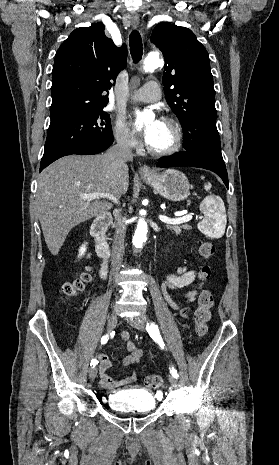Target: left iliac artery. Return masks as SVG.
<instances>
[{
	"mask_svg": "<svg viewBox=\"0 0 279 465\" xmlns=\"http://www.w3.org/2000/svg\"><path fill=\"white\" fill-rule=\"evenodd\" d=\"M147 332L149 333V335L152 337V339L157 342L159 344V346L161 348H164L165 344L161 338V335H160V332H159V329H158V326L151 322V323H147ZM172 376L178 378V373L176 371V369H174L173 367L171 368L170 370Z\"/></svg>",
	"mask_w": 279,
	"mask_h": 465,
	"instance_id": "left-iliac-artery-1",
	"label": "left iliac artery"
}]
</instances>
